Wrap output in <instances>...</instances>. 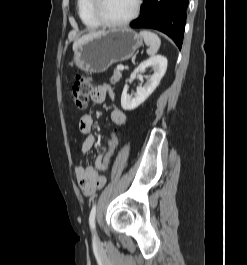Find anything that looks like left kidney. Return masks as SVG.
<instances>
[{
  "mask_svg": "<svg viewBox=\"0 0 247 265\" xmlns=\"http://www.w3.org/2000/svg\"><path fill=\"white\" fill-rule=\"evenodd\" d=\"M148 67H153L154 74L148 78V82L143 86L137 87L134 97L130 96L128 86H125L121 96V106L126 111H131L142 104L159 85L167 69V58L162 55L153 56L142 62L131 74L130 80L133 81L139 72H144Z\"/></svg>",
  "mask_w": 247,
  "mask_h": 265,
  "instance_id": "5707ae66",
  "label": "left kidney"
}]
</instances>
